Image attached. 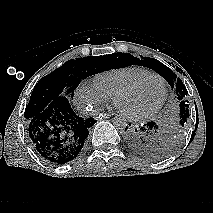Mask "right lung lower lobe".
Masks as SVG:
<instances>
[{"label": "right lung lower lobe", "mask_w": 213, "mask_h": 213, "mask_svg": "<svg viewBox=\"0 0 213 213\" xmlns=\"http://www.w3.org/2000/svg\"><path fill=\"white\" fill-rule=\"evenodd\" d=\"M96 122L83 119L66 97H58L41 113L26 122L29 138L38 154L53 164L75 159L84 146L89 128Z\"/></svg>", "instance_id": "obj_1"}]
</instances>
